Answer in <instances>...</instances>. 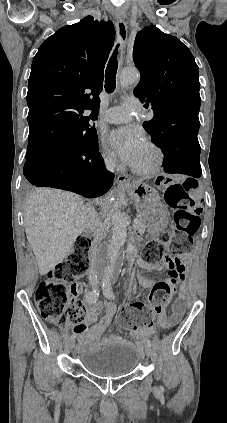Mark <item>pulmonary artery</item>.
Here are the masks:
<instances>
[{"instance_id": "pulmonary-artery-1", "label": "pulmonary artery", "mask_w": 227, "mask_h": 423, "mask_svg": "<svg viewBox=\"0 0 227 423\" xmlns=\"http://www.w3.org/2000/svg\"><path fill=\"white\" fill-rule=\"evenodd\" d=\"M135 108L133 101H125L119 106L112 107L106 111H102L100 116L103 121L109 124H124L132 120V112ZM139 120H151L153 113L151 111H139L137 113Z\"/></svg>"}]
</instances>
